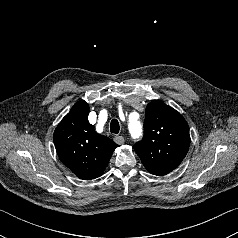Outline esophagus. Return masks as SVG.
<instances>
[{
    "label": "esophagus",
    "mask_w": 238,
    "mask_h": 238,
    "mask_svg": "<svg viewBox=\"0 0 238 238\" xmlns=\"http://www.w3.org/2000/svg\"><path fill=\"white\" fill-rule=\"evenodd\" d=\"M114 141H115L117 144L121 145V144L124 143L125 139H124V137L121 136V135H116V136L114 137Z\"/></svg>",
    "instance_id": "obj_1"
}]
</instances>
